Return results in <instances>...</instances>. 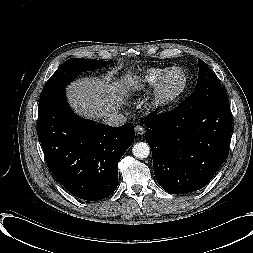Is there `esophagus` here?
I'll return each instance as SVG.
<instances>
[{
  "label": "esophagus",
  "mask_w": 253,
  "mask_h": 253,
  "mask_svg": "<svg viewBox=\"0 0 253 253\" xmlns=\"http://www.w3.org/2000/svg\"><path fill=\"white\" fill-rule=\"evenodd\" d=\"M135 133L137 135H141L142 136L145 133V128L143 126H141V125H136L135 126Z\"/></svg>",
  "instance_id": "34e87169"
}]
</instances>
